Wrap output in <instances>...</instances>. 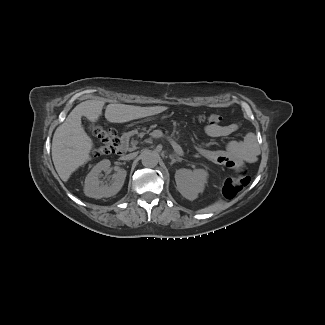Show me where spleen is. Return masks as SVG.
Returning a JSON list of instances; mask_svg holds the SVG:
<instances>
[{
  "label": "spleen",
  "instance_id": "1",
  "mask_svg": "<svg viewBox=\"0 0 325 325\" xmlns=\"http://www.w3.org/2000/svg\"><path fill=\"white\" fill-rule=\"evenodd\" d=\"M224 209V203L220 200L214 202L213 204L199 210V213H211V212H219Z\"/></svg>",
  "mask_w": 325,
  "mask_h": 325
}]
</instances>
